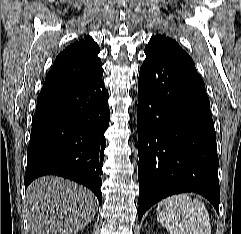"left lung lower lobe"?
<instances>
[{
  "label": "left lung lower lobe",
  "instance_id": "left-lung-lower-lobe-1",
  "mask_svg": "<svg viewBox=\"0 0 241 234\" xmlns=\"http://www.w3.org/2000/svg\"><path fill=\"white\" fill-rule=\"evenodd\" d=\"M145 54L138 78V219L182 192L203 195L219 213V160L204 82L193 66Z\"/></svg>",
  "mask_w": 241,
  "mask_h": 234
}]
</instances>
